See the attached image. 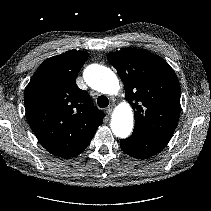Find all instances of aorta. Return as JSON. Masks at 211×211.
Listing matches in <instances>:
<instances>
[{
    "instance_id": "aorta-1",
    "label": "aorta",
    "mask_w": 211,
    "mask_h": 211,
    "mask_svg": "<svg viewBox=\"0 0 211 211\" xmlns=\"http://www.w3.org/2000/svg\"><path fill=\"white\" fill-rule=\"evenodd\" d=\"M84 80L93 89L113 95L119 90V81L115 73L109 68L91 64L84 71ZM133 128V111L128 103L119 105L111 119V129L115 136L126 138Z\"/></svg>"
}]
</instances>
